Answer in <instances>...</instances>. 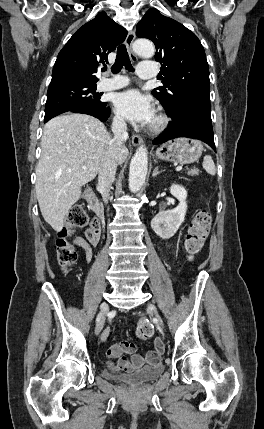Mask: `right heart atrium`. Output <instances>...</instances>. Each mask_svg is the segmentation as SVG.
Masks as SVG:
<instances>
[{
	"mask_svg": "<svg viewBox=\"0 0 264 429\" xmlns=\"http://www.w3.org/2000/svg\"><path fill=\"white\" fill-rule=\"evenodd\" d=\"M114 124H115L117 127H122V126H123V121H122L120 118L116 117V118L114 119Z\"/></svg>",
	"mask_w": 264,
	"mask_h": 429,
	"instance_id": "right-heart-atrium-1",
	"label": "right heart atrium"
}]
</instances>
